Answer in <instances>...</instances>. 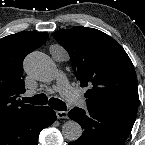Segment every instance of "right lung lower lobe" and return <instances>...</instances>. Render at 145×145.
Segmentation results:
<instances>
[{"label":"right lung lower lobe","instance_id":"98d812e1","mask_svg":"<svg viewBox=\"0 0 145 145\" xmlns=\"http://www.w3.org/2000/svg\"><path fill=\"white\" fill-rule=\"evenodd\" d=\"M56 120L47 106H37L0 125V145H37L39 133Z\"/></svg>","mask_w":145,"mask_h":145}]
</instances>
